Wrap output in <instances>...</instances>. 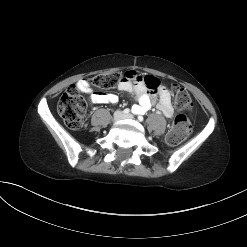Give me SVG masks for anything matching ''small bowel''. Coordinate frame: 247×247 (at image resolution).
<instances>
[{
	"instance_id": "small-bowel-1",
	"label": "small bowel",
	"mask_w": 247,
	"mask_h": 247,
	"mask_svg": "<svg viewBox=\"0 0 247 247\" xmlns=\"http://www.w3.org/2000/svg\"><path fill=\"white\" fill-rule=\"evenodd\" d=\"M124 78L119 82L118 89L132 96L136 101L132 107L135 114H144L156 103L157 108L167 118L174 116V109L171 102V93L167 87L161 85L159 80L153 76H142L136 71H127ZM80 92L88 95L92 104L116 103L118 96L113 93H102L93 91L85 79L76 83Z\"/></svg>"
}]
</instances>
